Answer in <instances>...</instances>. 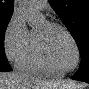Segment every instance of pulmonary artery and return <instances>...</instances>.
<instances>
[{
	"label": "pulmonary artery",
	"instance_id": "e3ab8cb5",
	"mask_svg": "<svg viewBox=\"0 0 89 89\" xmlns=\"http://www.w3.org/2000/svg\"><path fill=\"white\" fill-rule=\"evenodd\" d=\"M36 7L40 10H43L46 5H47V1L46 0H38V1H34Z\"/></svg>",
	"mask_w": 89,
	"mask_h": 89
}]
</instances>
